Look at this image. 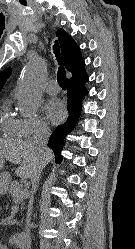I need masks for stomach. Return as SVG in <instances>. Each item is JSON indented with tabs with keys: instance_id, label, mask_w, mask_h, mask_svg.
<instances>
[{
	"instance_id": "0dacf381",
	"label": "stomach",
	"mask_w": 135,
	"mask_h": 249,
	"mask_svg": "<svg viewBox=\"0 0 135 249\" xmlns=\"http://www.w3.org/2000/svg\"><path fill=\"white\" fill-rule=\"evenodd\" d=\"M3 164H4L3 158H0V170L3 167ZM2 177L6 178V183L9 182V180H10V177L8 174H4V173L0 174V189H3L6 186V184L2 181Z\"/></svg>"
}]
</instances>
